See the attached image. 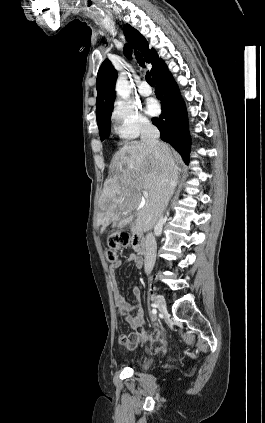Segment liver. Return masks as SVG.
Masks as SVG:
<instances>
[{
	"label": "liver",
	"instance_id": "6515ba94",
	"mask_svg": "<svg viewBox=\"0 0 265 423\" xmlns=\"http://www.w3.org/2000/svg\"><path fill=\"white\" fill-rule=\"evenodd\" d=\"M157 157L155 149L139 141L126 143L112 158L110 177L105 181L100 197L97 225L100 232L119 219L121 215L136 213V229L139 232L151 230L163 210L165 203L163 192L167 181H173L170 196L178 179V166L171 149ZM148 197L145 205L139 209L141 193Z\"/></svg>",
	"mask_w": 265,
	"mask_h": 423
}]
</instances>
